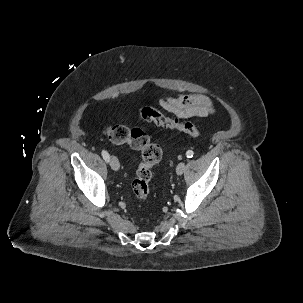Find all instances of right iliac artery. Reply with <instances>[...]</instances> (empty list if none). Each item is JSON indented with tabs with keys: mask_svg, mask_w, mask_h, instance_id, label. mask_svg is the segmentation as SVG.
Instances as JSON below:
<instances>
[{
	"mask_svg": "<svg viewBox=\"0 0 303 303\" xmlns=\"http://www.w3.org/2000/svg\"><path fill=\"white\" fill-rule=\"evenodd\" d=\"M101 154H102V156H103V159H104L106 162H109L110 156H109L108 152L105 151V150H102Z\"/></svg>",
	"mask_w": 303,
	"mask_h": 303,
	"instance_id": "1",
	"label": "right iliac artery"
}]
</instances>
